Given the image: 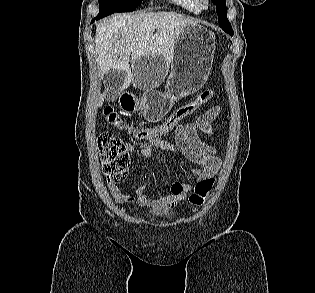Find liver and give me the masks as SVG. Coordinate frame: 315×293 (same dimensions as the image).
<instances>
[{
    "label": "liver",
    "instance_id": "obj_1",
    "mask_svg": "<svg viewBox=\"0 0 315 293\" xmlns=\"http://www.w3.org/2000/svg\"><path fill=\"white\" fill-rule=\"evenodd\" d=\"M196 20L176 12L130 13L112 16L96 27L95 51L101 79L110 69L125 72L124 84L116 95L129 87L133 81L129 58L144 56L162 57L171 62L174 46L181 32ZM106 95L100 96L98 107Z\"/></svg>",
    "mask_w": 315,
    "mask_h": 293
}]
</instances>
